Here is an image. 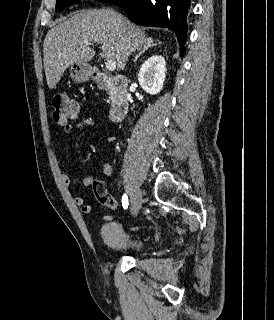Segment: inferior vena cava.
Masks as SVG:
<instances>
[{
	"label": "inferior vena cava",
	"instance_id": "obj_1",
	"mask_svg": "<svg viewBox=\"0 0 274 320\" xmlns=\"http://www.w3.org/2000/svg\"><path fill=\"white\" fill-rule=\"evenodd\" d=\"M129 32H130V28H127V34H129Z\"/></svg>",
	"mask_w": 274,
	"mask_h": 320
}]
</instances>
